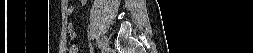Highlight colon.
Wrapping results in <instances>:
<instances>
[{
    "instance_id": "1",
    "label": "colon",
    "mask_w": 253,
    "mask_h": 53,
    "mask_svg": "<svg viewBox=\"0 0 253 53\" xmlns=\"http://www.w3.org/2000/svg\"><path fill=\"white\" fill-rule=\"evenodd\" d=\"M70 53H77V47L74 44L70 48Z\"/></svg>"
}]
</instances>
